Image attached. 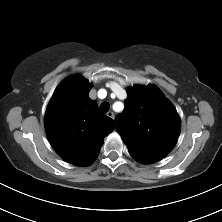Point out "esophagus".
Instances as JSON below:
<instances>
[{
	"label": "esophagus",
	"mask_w": 222,
	"mask_h": 222,
	"mask_svg": "<svg viewBox=\"0 0 222 222\" xmlns=\"http://www.w3.org/2000/svg\"><path fill=\"white\" fill-rule=\"evenodd\" d=\"M109 118L114 119V113L112 111L107 112L106 114Z\"/></svg>",
	"instance_id": "34e87169"
}]
</instances>
